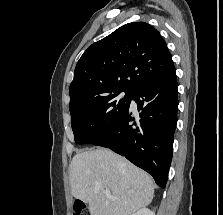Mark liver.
<instances>
[{
	"label": "liver",
	"instance_id": "6515ba94",
	"mask_svg": "<svg viewBox=\"0 0 223 215\" xmlns=\"http://www.w3.org/2000/svg\"><path fill=\"white\" fill-rule=\"evenodd\" d=\"M72 195L91 215H130L153 199L151 175L106 147L76 153L70 163ZM105 189L119 199L106 197Z\"/></svg>",
	"mask_w": 223,
	"mask_h": 215
}]
</instances>
